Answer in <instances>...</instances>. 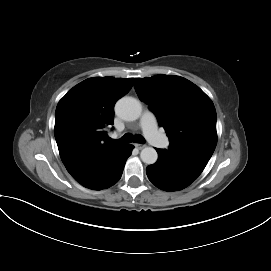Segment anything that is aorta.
Here are the masks:
<instances>
[{
  "instance_id": "obj_1",
  "label": "aorta",
  "mask_w": 271,
  "mask_h": 271,
  "mask_svg": "<svg viewBox=\"0 0 271 271\" xmlns=\"http://www.w3.org/2000/svg\"><path fill=\"white\" fill-rule=\"evenodd\" d=\"M116 114L124 120H137L142 113L141 103L133 97H123L116 103ZM141 160L146 164H154L158 154L152 147H145L140 153Z\"/></svg>"
}]
</instances>
